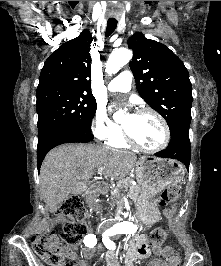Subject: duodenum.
Instances as JSON below:
<instances>
[{
  "label": "duodenum",
  "instance_id": "duodenum-1",
  "mask_svg": "<svg viewBox=\"0 0 221 266\" xmlns=\"http://www.w3.org/2000/svg\"><path fill=\"white\" fill-rule=\"evenodd\" d=\"M100 194H102L101 191L96 190L95 188H89L86 192V197L90 199ZM97 217H100V215H97Z\"/></svg>",
  "mask_w": 221,
  "mask_h": 266
}]
</instances>
